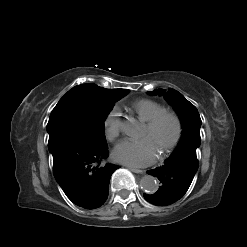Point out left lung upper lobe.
Returning <instances> with one entry per match:
<instances>
[{"instance_id": "1", "label": "left lung upper lobe", "mask_w": 247, "mask_h": 247, "mask_svg": "<svg viewBox=\"0 0 247 247\" xmlns=\"http://www.w3.org/2000/svg\"><path fill=\"white\" fill-rule=\"evenodd\" d=\"M162 93V89L148 92L150 95ZM164 98L176 110L182 123L183 131L178 147L191 146L198 148L201 142V118L196 107L176 90H170L164 93Z\"/></svg>"}]
</instances>
